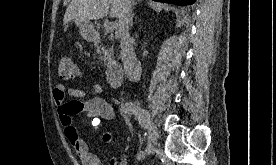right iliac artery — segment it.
<instances>
[{
    "mask_svg": "<svg viewBox=\"0 0 276 165\" xmlns=\"http://www.w3.org/2000/svg\"><path fill=\"white\" fill-rule=\"evenodd\" d=\"M121 111L125 114L135 115V117L137 118V120H138L139 124L141 125V127L146 128L145 127V120H144L139 108L135 104H133L131 102L125 103L122 106ZM144 135H146V134H144ZM143 157H144V152L140 150L137 154V159L140 160Z\"/></svg>",
    "mask_w": 276,
    "mask_h": 165,
    "instance_id": "right-iliac-artery-1",
    "label": "right iliac artery"
}]
</instances>
